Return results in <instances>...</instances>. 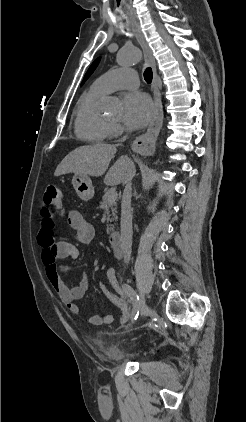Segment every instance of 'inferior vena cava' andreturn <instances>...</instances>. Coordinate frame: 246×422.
<instances>
[{"label": "inferior vena cava", "mask_w": 246, "mask_h": 422, "mask_svg": "<svg viewBox=\"0 0 246 422\" xmlns=\"http://www.w3.org/2000/svg\"><path fill=\"white\" fill-rule=\"evenodd\" d=\"M125 139L126 137H123L122 141H125ZM133 176L134 175L130 173L123 183L125 188L121 204V248L125 263H129L132 250L131 180Z\"/></svg>", "instance_id": "inferior-vena-cava-1"}]
</instances>
